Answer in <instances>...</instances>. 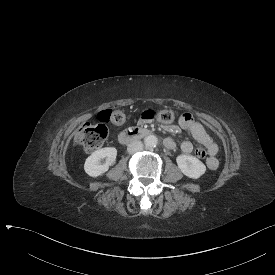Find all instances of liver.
Returning <instances> with one entry per match:
<instances>
[{"label":"liver","mask_w":275,"mask_h":275,"mask_svg":"<svg viewBox=\"0 0 275 275\" xmlns=\"http://www.w3.org/2000/svg\"><path fill=\"white\" fill-rule=\"evenodd\" d=\"M76 140H77V138L75 137V139H74V146H76Z\"/></svg>","instance_id":"liver-1"}]
</instances>
